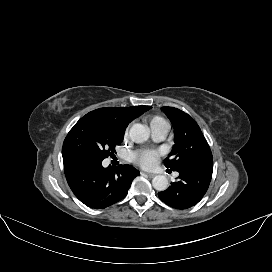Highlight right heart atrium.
Listing matches in <instances>:
<instances>
[{"mask_svg":"<svg viewBox=\"0 0 272 272\" xmlns=\"http://www.w3.org/2000/svg\"><path fill=\"white\" fill-rule=\"evenodd\" d=\"M128 130H129V128L127 127V128L125 129V132H124V135H125V136H127Z\"/></svg>","mask_w":272,"mask_h":272,"instance_id":"d8ad5b80","label":"right heart atrium"}]
</instances>
